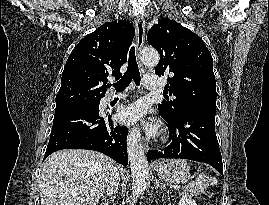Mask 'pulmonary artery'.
I'll use <instances>...</instances> for the list:
<instances>
[{"instance_id":"e3ab8cb5","label":"pulmonary artery","mask_w":269,"mask_h":205,"mask_svg":"<svg viewBox=\"0 0 269 205\" xmlns=\"http://www.w3.org/2000/svg\"><path fill=\"white\" fill-rule=\"evenodd\" d=\"M143 85L146 89L152 90V89H158L161 87V78L156 77V76H151V75H145L142 79ZM128 96L126 93H121V94H114L110 93L108 94L104 100L103 104L106 105L113 101L114 99H124Z\"/></svg>"}]
</instances>
